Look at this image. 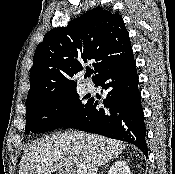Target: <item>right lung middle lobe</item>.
<instances>
[{"label": "right lung middle lobe", "instance_id": "right-lung-middle-lobe-1", "mask_svg": "<svg viewBox=\"0 0 175 174\" xmlns=\"http://www.w3.org/2000/svg\"><path fill=\"white\" fill-rule=\"evenodd\" d=\"M76 88L50 94L26 104V133H43L65 127L86 107Z\"/></svg>", "mask_w": 175, "mask_h": 174}]
</instances>
